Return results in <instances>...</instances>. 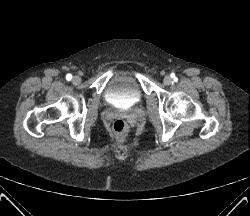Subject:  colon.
Listing matches in <instances>:
<instances>
[{
    "mask_svg": "<svg viewBox=\"0 0 250 216\" xmlns=\"http://www.w3.org/2000/svg\"><path fill=\"white\" fill-rule=\"evenodd\" d=\"M112 130L118 141L122 142L128 133V125L123 119H117L112 125Z\"/></svg>",
    "mask_w": 250,
    "mask_h": 216,
    "instance_id": "5ec220e1",
    "label": "colon"
}]
</instances>
